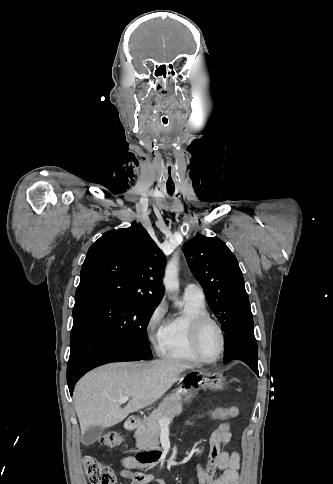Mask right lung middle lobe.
I'll list each match as a JSON object with an SVG mask.
<instances>
[{
  "instance_id": "obj_1",
  "label": "right lung middle lobe",
  "mask_w": 333,
  "mask_h": 484,
  "mask_svg": "<svg viewBox=\"0 0 333 484\" xmlns=\"http://www.w3.org/2000/svg\"><path fill=\"white\" fill-rule=\"evenodd\" d=\"M157 305L131 300L92 298L75 304L73 318L91 321L122 341L139 356V360H149L152 353L148 345L147 324Z\"/></svg>"
}]
</instances>
